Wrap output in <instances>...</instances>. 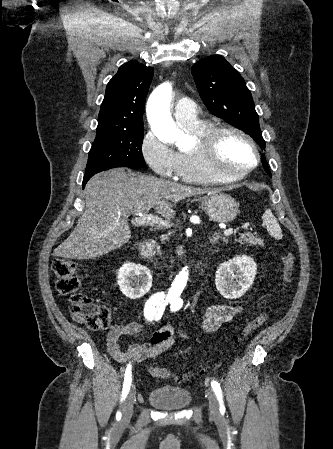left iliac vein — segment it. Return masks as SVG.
Instances as JSON below:
<instances>
[{
    "label": "left iliac vein",
    "mask_w": 333,
    "mask_h": 449,
    "mask_svg": "<svg viewBox=\"0 0 333 449\" xmlns=\"http://www.w3.org/2000/svg\"><path fill=\"white\" fill-rule=\"evenodd\" d=\"M210 417L213 421L218 422L221 419L219 405L215 394L211 390H207Z\"/></svg>",
    "instance_id": "obj_1"
}]
</instances>
